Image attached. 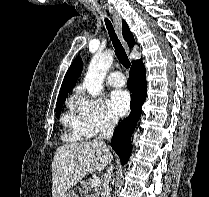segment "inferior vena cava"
Returning a JSON list of instances; mask_svg holds the SVG:
<instances>
[{
  "label": "inferior vena cava",
  "mask_w": 209,
  "mask_h": 197,
  "mask_svg": "<svg viewBox=\"0 0 209 197\" xmlns=\"http://www.w3.org/2000/svg\"><path fill=\"white\" fill-rule=\"evenodd\" d=\"M117 122L118 120L115 116L111 114H106L103 126L100 129V133L99 136L96 138V141L104 144V140L111 139ZM110 162L111 160L109 161V163ZM112 171L113 165L111 164L104 174V183L101 192V197H111L109 183L111 180Z\"/></svg>",
  "instance_id": "obj_1"
}]
</instances>
